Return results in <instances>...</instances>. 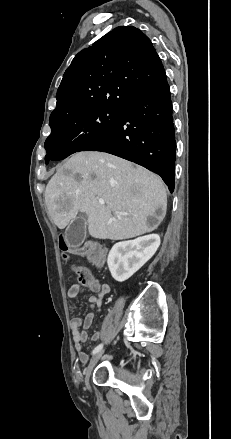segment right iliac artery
Listing matches in <instances>:
<instances>
[{
  "label": "right iliac artery",
  "instance_id": "82829eb1",
  "mask_svg": "<svg viewBox=\"0 0 231 439\" xmlns=\"http://www.w3.org/2000/svg\"><path fill=\"white\" fill-rule=\"evenodd\" d=\"M103 347V344H99L97 347L94 348V350L92 351V354H96L97 352H99Z\"/></svg>",
  "mask_w": 231,
  "mask_h": 439
}]
</instances>
